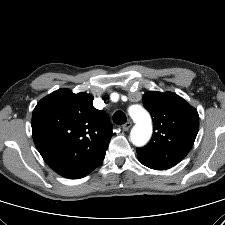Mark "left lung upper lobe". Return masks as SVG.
<instances>
[{"instance_id": "1", "label": "left lung upper lobe", "mask_w": 225, "mask_h": 225, "mask_svg": "<svg viewBox=\"0 0 225 225\" xmlns=\"http://www.w3.org/2000/svg\"><path fill=\"white\" fill-rule=\"evenodd\" d=\"M143 105L150 112L154 133L143 148H137L138 159L158 170L178 164L190 151L199 129V115L180 96L149 91Z\"/></svg>"}]
</instances>
